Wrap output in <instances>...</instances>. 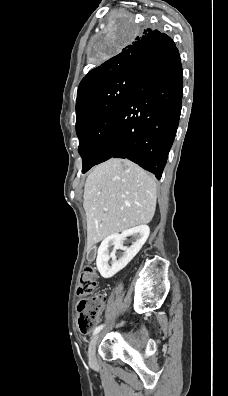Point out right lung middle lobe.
Returning <instances> with one entry per match:
<instances>
[{"instance_id":"1","label":"right lung middle lobe","mask_w":228,"mask_h":396,"mask_svg":"<svg viewBox=\"0 0 228 396\" xmlns=\"http://www.w3.org/2000/svg\"><path fill=\"white\" fill-rule=\"evenodd\" d=\"M130 28L134 31L132 23ZM120 39L116 38L115 43ZM137 71L120 75L104 83L83 101L76 113L78 151L83 159L82 173L96 165L100 158L116 116L122 107Z\"/></svg>"}]
</instances>
